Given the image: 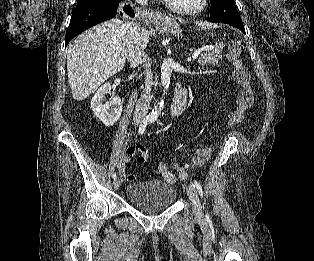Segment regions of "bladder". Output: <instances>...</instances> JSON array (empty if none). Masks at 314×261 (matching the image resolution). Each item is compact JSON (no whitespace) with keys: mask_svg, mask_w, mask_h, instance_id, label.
<instances>
[{"mask_svg":"<svg viewBox=\"0 0 314 261\" xmlns=\"http://www.w3.org/2000/svg\"><path fill=\"white\" fill-rule=\"evenodd\" d=\"M177 197L176 187L161 180L134 182L128 185L127 201L136 209L154 214L170 208Z\"/></svg>","mask_w":314,"mask_h":261,"instance_id":"obj_1","label":"bladder"}]
</instances>
